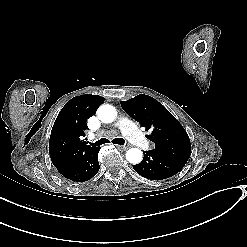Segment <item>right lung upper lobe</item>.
<instances>
[{"instance_id": "obj_1", "label": "right lung upper lobe", "mask_w": 247, "mask_h": 247, "mask_svg": "<svg viewBox=\"0 0 247 247\" xmlns=\"http://www.w3.org/2000/svg\"><path fill=\"white\" fill-rule=\"evenodd\" d=\"M104 102L98 95L84 94L69 100L58 114L49 140V154L59 173L70 169L95 146L85 145L87 119Z\"/></svg>"}]
</instances>
